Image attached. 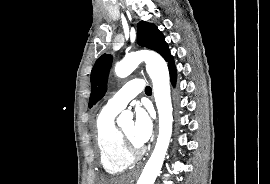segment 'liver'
I'll list each match as a JSON object with an SVG mask.
<instances>
[{"instance_id":"liver-1","label":"liver","mask_w":270,"mask_h":184,"mask_svg":"<svg viewBox=\"0 0 270 184\" xmlns=\"http://www.w3.org/2000/svg\"><path fill=\"white\" fill-rule=\"evenodd\" d=\"M131 179V176H123L119 178L109 179L104 182V184H128Z\"/></svg>"}]
</instances>
